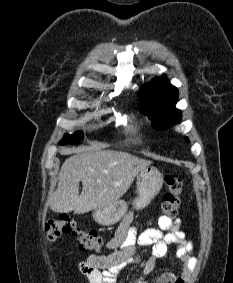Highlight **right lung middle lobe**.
I'll return each mask as SVG.
<instances>
[{"label":"right lung middle lobe","instance_id":"right-lung-middle-lobe-1","mask_svg":"<svg viewBox=\"0 0 233 283\" xmlns=\"http://www.w3.org/2000/svg\"><path fill=\"white\" fill-rule=\"evenodd\" d=\"M74 136H76L78 139H81L83 137V133L78 131L74 134ZM72 142L73 140L71 135H65V137L61 141L62 144H69ZM76 144H78V141H76Z\"/></svg>","mask_w":233,"mask_h":283}]
</instances>
